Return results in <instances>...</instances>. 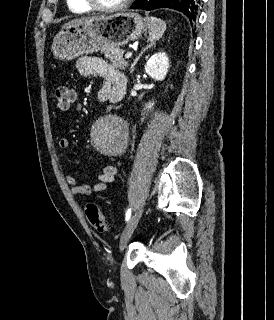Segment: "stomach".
Listing matches in <instances>:
<instances>
[{"instance_id": "0dacf381", "label": "stomach", "mask_w": 274, "mask_h": 320, "mask_svg": "<svg viewBox=\"0 0 274 320\" xmlns=\"http://www.w3.org/2000/svg\"><path fill=\"white\" fill-rule=\"evenodd\" d=\"M148 26L135 12L101 16L100 20H83L62 28L52 44L56 60H75L106 48H119L139 40Z\"/></svg>"}]
</instances>
